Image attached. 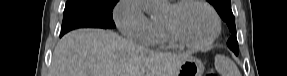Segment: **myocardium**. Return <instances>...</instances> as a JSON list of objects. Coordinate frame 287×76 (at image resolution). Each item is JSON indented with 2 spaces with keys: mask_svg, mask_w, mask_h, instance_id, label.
Masks as SVG:
<instances>
[{
  "mask_svg": "<svg viewBox=\"0 0 287 76\" xmlns=\"http://www.w3.org/2000/svg\"><path fill=\"white\" fill-rule=\"evenodd\" d=\"M190 4H197L201 5L204 8H206L214 21V31L212 35L204 42L201 43H193L188 41L181 33L178 24H177V18L179 12L187 5ZM165 20H166V26L168 29L169 34L173 38V40L182 47H186L189 49H204L209 46H211L215 40L219 37L221 32V20L216 12V10L206 1L204 0H178L175 1L167 10L165 13Z\"/></svg>",
  "mask_w": 287,
  "mask_h": 76,
  "instance_id": "1",
  "label": "myocardium"
}]
</instances>
